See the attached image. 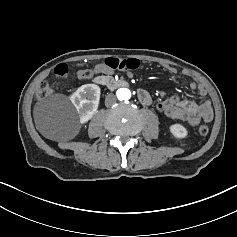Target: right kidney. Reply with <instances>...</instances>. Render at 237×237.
I'll use <instances>...</instances> for the list:
<instances>
[{
  "instance_id": "right-kidney-1",
  "label": "right kidney",
  "mask_w": 237,
  "mask_h": 237,
  "mask_svg": "<svg viewBox=\"0 0 237 237\" xmlns=\"http://www.w3.org/2000/svg\"><path fill=\"white\" fill-rule=\"evenodd\" d=\"M101 89L95 84H85L70 96L77 109L80 124L87 123L98 110ZM88 98L89 100H86Z\"/></svg>"
}]
</instances>
